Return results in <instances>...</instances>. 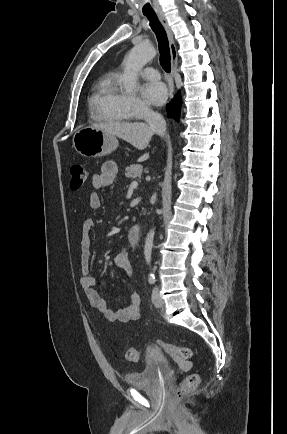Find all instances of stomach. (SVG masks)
I'll use <instances>...</instances> for the list:
<instances>
[{
	"mask_svg": "<svg viewBox=\"0 0 287 434\" xmlns=\"http://www.w3.org/2000/svg\"><path fill=\"white\" fill-rule=\"evenodd\" d=\"M118 144L116 136L92 126L79 129L73 136L75 150L90 158L108 155L117 149Z\"/></svg>",
	"mask_w": 287,
	"mask_h": 434,
	"instance_id": "stomach-1",
	"label": "stomach"
}]
</instances>
